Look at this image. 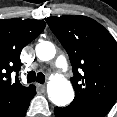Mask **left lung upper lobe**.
I'll return each mask as SVG.
<instances>
[{"instance_id":"5c2ea615","label":"left lung upper lobe","mask_w":117,"mask_h":117,"mask_svg":"<svg viewBox=\"0 0 117 117\" xmlns=\"http://www.w3.org/2000/svg\"><path fill=\"white\" fill-rule=\"evenodd\" d=\"M50 29L66 49L74 76L72 105L108 112L117 99V42L86 16L49 17Z\"/></svg>"}]
</instances>
